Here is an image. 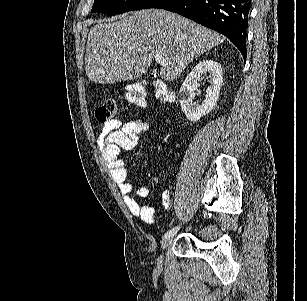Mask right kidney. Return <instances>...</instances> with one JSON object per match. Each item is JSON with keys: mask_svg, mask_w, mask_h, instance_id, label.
Segmentation results:
<instances>
[{"mask_svg": "<svg viewBox=\"0 0 307 301\" xmlns=\"http://www.w3.org/2000/svg\"><path fill=\"white\" fill-rule=\"evenodd\" d=\"M209 72V86L206 88V98L203 100L201 106L200 104H193L192 100L194 98L195 90L200 86L198 80L201 78L202 74ZM223 76L222 68L219 62L216 60H200L188 76H186L184 82L181 84V88L177 94L181 108L186 114L188 120L192 122H197L201 116H205L208 112L213 110L217 100L219 98L220 88L222 86Z\"/></svg>", "mask_w": 307, "mask_h": 301, "instance_id": "right-kidney-1", "label": "right kidney"}]
</instances>
